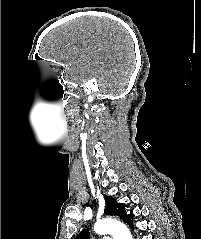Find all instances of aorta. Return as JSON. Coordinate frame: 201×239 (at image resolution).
Here are the masks:
<instances>
[{
	"label": "aorta",
	"mask_w": 201,
	"mask_h": 239,
	"mask_svg": "<svg viewBox=\"0 0 201 239\" xmlns=\"http://www.w3.org/2000/svg\"><path fill=\"white\" fill-rule=\"evenodd\" d=\"M94 231L100 235L111 234L113 239H132L129 229L120 221L111 218L97 221Z\"/></svg>",
	"instance_id": "obj_1"
}]
</instances>
